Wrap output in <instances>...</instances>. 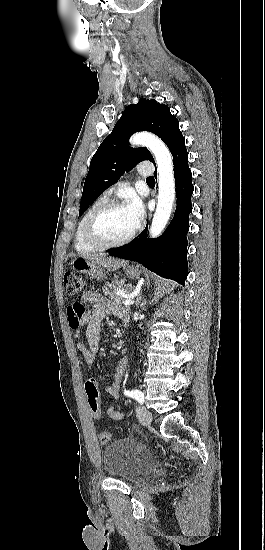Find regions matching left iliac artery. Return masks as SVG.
I'll list each match as a JSON object with an SVG mask.
<instances>
[{"instance_id":"1","label":"left iliac artery","mask_w":265,"mask_h":550,"mask_svg":"<svg viewBox=\"0 0 265 550\" xmlns=\"http://www.w3.org/2000/svg\"><path fill=\"white\" fill-rule=\"evenodd\" d=\"M124 394H125L126 396L131 397V398H134V399L137 400L140 404H142L143 401H144V395H143V393H142L140 390H131V391L125 390V391H124Z\"/></svg>"}]
</instances>
